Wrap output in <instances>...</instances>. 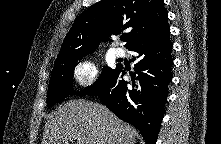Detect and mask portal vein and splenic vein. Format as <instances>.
Returning a JSON list of instances; mask_svg holds the SVG:
<instances>
[{
    "label": "portal vein and splenic vein",
    "mask_w": 221,
    "mask_h": 144,
    "mask_svg": "<svg viewBox=\"0 0 221 144\" xmlns=\"http://www.w3.org/2000/svg\"><path fill=\"white\" fill-rule=\"evenodd\" d=\"M78 144H83V142L79 140V141H78Z\"/></svg>",
    "instance_id": "obj_1"
}]
</instances>
